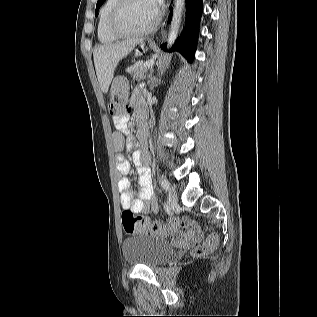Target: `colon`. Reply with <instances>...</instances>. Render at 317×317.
<instances>
[{"label": "colon", "instance_id": "obj_1", "mask_svg": "<svg viewBox=\"0 0 317 317\" xmlns=\"http://www.w3.org/2000/svg\"><path fill=\"white\" fill-rule=\"evenodd\" d=\"M128 83L123 76L114 78L110 87L109 110L115 118L125 115L128 110ZM122 225L126 233L150 231L152 233L168 236L174 233L180 226H190L192 223L186 219L173 218L168 223L150 222L148 219L135 215L131 210H125L121 215ZM217 234L209 235L203 242L199 243L194 253L196 255H206L212 252L218 245Z\"/></svg>", "mask_w": 317, "mask_h": 317}]
</instances>
